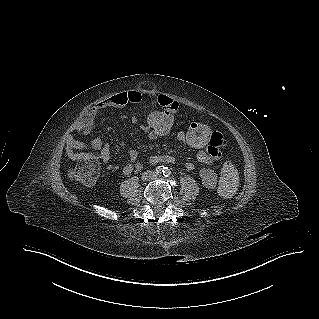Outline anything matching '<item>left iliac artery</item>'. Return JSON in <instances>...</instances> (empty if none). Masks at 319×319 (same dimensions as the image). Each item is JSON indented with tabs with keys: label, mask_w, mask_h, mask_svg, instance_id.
<instances>
[{
	"label": "left iliac artery",
	"mask_w": 319,
	"mask_h": 319,
	"mask_svg": "<svg viewBox=\"0 0 319 319\" xmlns=\"http://www.w3.org/2000/svg\"><path fill=\"white\" fill-rule=\"evenodd\" d=\"M163 175H164L165 177H170V175H171V170H170L168 167H166L165 171L163 172Z\"/></svg>",
	"instance_id": "obj_1"
}]
</instances>
